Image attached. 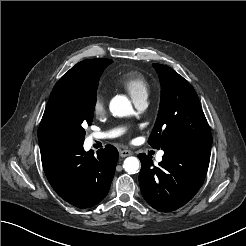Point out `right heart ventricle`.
I'll return each instance as SVG.
<instances>
[{
	"mask_svg": "<svg viewBox=\"0 0 246 246\" xmlns=\"http://www.w3.org/2000/svg\"><path fill=\"white\" fill-rule=\"evenodd\" d=\"M118 82L131 95L134 101L147 97L149 94L150 86L148 81L137 72L123 74Z\"/></svg>",
	"mask_w": 246,
	"mask_h": 246,
	"instance_id": "obj_1",
	"label": "right heart ventricle"
}]
</instances>
